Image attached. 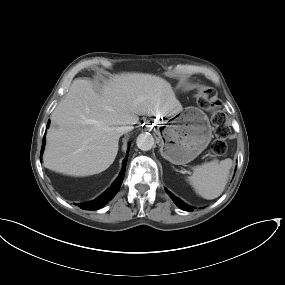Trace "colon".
I'll use <instances>...</instances> for the list:
<instances>
[{
	"label": "colon",
	"mask_w": 285,
	"mask_h": 285,
	"mask_svg": "<svg viewBox=\"0 0 285 285\" xmlns=\"http://www.w3.org/2000/svg\"><path fill=\"white\" fill-rule=\"evenodd\" d=\"M211 91L206 89L200 95L198 104L201 108L208 110L211 113V123L215 128L217 138L212 143V150L217 154H222L226 151V130L225 120L226 116L220 109L219 102H213L210 98Z\"/></svg>",
	"instance_id": "colon-1"
}]
</instances>
